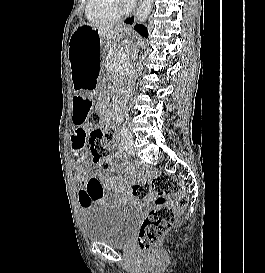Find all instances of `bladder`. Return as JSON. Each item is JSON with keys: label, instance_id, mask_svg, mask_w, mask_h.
<instances>
[{"label": "bladder", "instance_id": "obj_1", "mask_svg": "<svg viewBox=\"0 0 265 273\" xmlns=\"http://www.w3.org/2000/svg\"><path fill=\"white\" fill-rule=\"evenodd\" d=\"M138 218L139 211L133 205L99 204L83 211L82 227L89 241L123 247L130 241Z\"/></svg>", "mask_w": 265, "mask_h": 273}]
</instances>
